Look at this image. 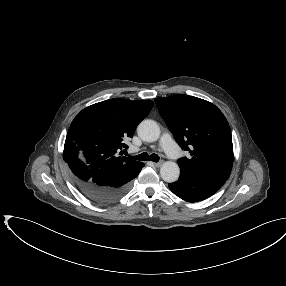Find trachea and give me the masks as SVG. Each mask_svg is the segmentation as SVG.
<instances>
[{
  "label": "trachea",
  "mask_w": 286,
  "mask_h": 286,
  "mask_svg": "<svg viewBox=\"0 0 286 286\" xmlns=\"http://www.w3.org/2000/svg\"><path fill=\"white\" fill-rule=\"evenodd\" d=\"M132 158H134L135 160H140V161H147V160H151L153 162L159 161V156L157 154H151L149 156L146 152L140 155H137V156H132Z\"/></svg>",
  "instance_id": "obj_1"
}]
</instances>
